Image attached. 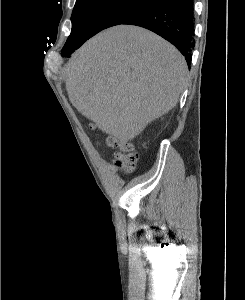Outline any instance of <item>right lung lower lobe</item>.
<instances>
[{"mask_svg": "<svg viewBox=\"0 0 245 300\" xmlns=\"http://www.w3.org/2000/svg\"><path fill=\"white\" fill-rule=\"evenodd\" d=\"M193 0H156L152 5L122 24L136 25L149 29L175 45L191 62L193 39ZM81 45L62 53L69 57Z\"/></svg>", "mask_w": 245, "mask_h": 300, "instance_id": "98d812e1", "label": "right lung lower lobe"}]
</instances>
